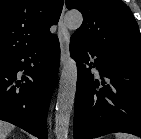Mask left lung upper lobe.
<instances>
[{
	"instance_id": "left-lung-upper-lobe-1",
	"label": "left lung upper lobe",
	"mask_w": 141,
	"mask_h": 139,
	"mask_svg": "<svg viewBox=\"0 0 141 139\" xmlns=\"http://www.w3.org/2000/svg\"><path fill=\"white\" fill-rule=\"evenodd\" d=\"M66 6L83 14V23L72 37L109 53L141 59L138 24L121 0H66Z\"/></svg>"
}]
</instances>
